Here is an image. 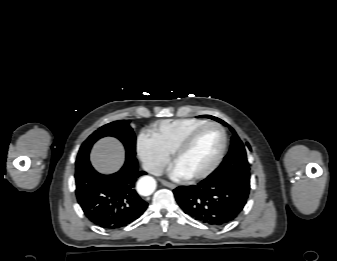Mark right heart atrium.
<instances>
[{
	"mask_svg": "<svg viewBox=\"0 0 337 261\" xmlns=\"http://www.w3.org/2000/svg\"><path fill=\"white\" fill-rule=\"evenodd\" d=\"M137 151L145 169L152 174H160L169 162V154L147 132L139 135Z\"/></svg>",
	"mask_w": 337,
	"mask_h": 261,
	"instance_id": "obj_1",
	"label": "right heart atrium"
}]
</instances>
